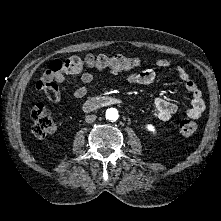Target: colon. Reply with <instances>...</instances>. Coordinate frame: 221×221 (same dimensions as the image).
Wrapping results in <instances>:
<instances>
[{
  "mask_svg": "<svg viewBox=\"0 0 221 221\" xmlns=\"http://www.w3.org/2000/svg\"><path fill=\"white\" fill-rule=\"evenodd\" d=\"M85 65L93 68L127 71L138 68L141 65V60L121 55L114 57L89 55L85 58L74 56L64 61L54 60L48 65L41 80L38 82V90L47 96L56 97L58 95L57 84L64 79V76L66 74L79 73ZM32 121V131L36 137L49 136L56 130V123L52 114L43 104H38L32 110ZM178 129L183 136L190 137L196 132V124L190 118H185L179 122Z\"/></svg>",
  "mask_w": 221,
  "mask_h": 221,
  "instance_id": "obj_1",
  "label": "colon"
}]
</instances>
